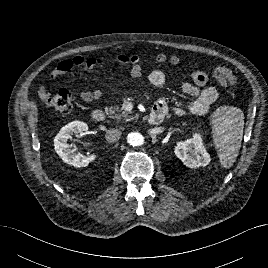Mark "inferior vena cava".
Instances as JSON below:
<instances>
[{"mask_svg":"<svg viewBox=\"0 0 268 268\" xmlns=\"http://www.w3.org/2000/svg\"><path fill=\"white\" fill-rule=\"evenodd\" d=\"M121 131L119 129L116 128H110L106 131L105 134V139L109 142V143H114L116 141H118L121 137Z\"/></svg>","mask_w":268,"mask_h":268,"instance_id":"1","label":"inferior vena cava"}]
</instances>
